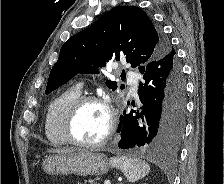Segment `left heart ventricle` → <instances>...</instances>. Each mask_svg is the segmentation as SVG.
<instances>
[{"label":"left heart ventricle","instance_id":"left-heart-ventricle-1","mask_svg":"<svg viewBox=\"0 0 224 184\" xmlns=\"http://www.w3.org/2000/svg\"><path fill=\"white\" fill-rule=\"evenodd\" d=\"M108 114L101 105L88 103L84 105L74 122L75 137L82 142L99 141L107 131Z\"/></svg>","mask_w":224,"mask_h":184}]
</instances>
